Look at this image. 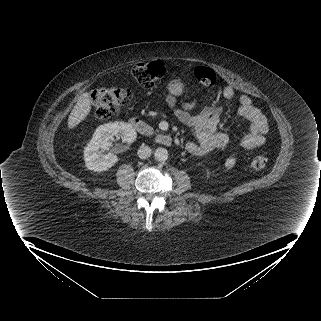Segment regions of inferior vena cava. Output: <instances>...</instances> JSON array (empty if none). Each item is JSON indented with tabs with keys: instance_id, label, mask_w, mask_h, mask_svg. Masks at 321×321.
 Listing matches in <instances>:
<instances>
[{
	"instance_id": "602c4592",
	"label": "inferior vena cava",
	"mask_w": 321,
	"mask_h": 321,
	"mask_svg": "<svg viewBox=\"0 0 321 321\" xmlns=\"http://www.w3.org/2000/svg\"><path fill=\"white\" fill-rule=\"evenodd\" d=\"M151 153H152V149L149 146L144 145V144L142 146H140V148L138 149V152H137L139 158H141V159H146V158L150 157Z\"/></svg>"
}]
</instances>
